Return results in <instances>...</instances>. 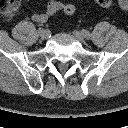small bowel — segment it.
Listing matches in <instances>:
<instances>
[{
	"label": "small bowel",
	"instance_id": "small-bowel-1",
	"mask_svg": "<svg viewBox=\"0 0 128 128\" xmlns=\"http://www.w3.org/2000/svg\"><path fill=\"white\" fill-rule=\"evenodd\" d=\"M64 7L63 2L58 0H50L43 12H36L32 15V19L38 23L46 22L52 15L61 11Z\"/></svg>",
	"mask_w": 128,
	"mask_h": 128
}]
</instances>
